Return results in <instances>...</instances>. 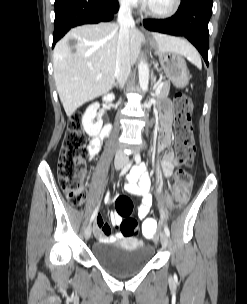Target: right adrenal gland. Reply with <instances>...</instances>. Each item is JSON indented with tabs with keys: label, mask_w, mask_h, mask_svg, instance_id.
<instances>
[{
	"label": "right adrenal gland",
	"mask_w": 247,
	"mask_h": 304,
	"mask_svg": "<svg viewBox=\"0 0 247 304\" xmlns=\"http://www.w3.org/2000/svg\"><path fill=\"white\" fill-rule=\"evenodd\" d=\"M114 87H117L118 86V84L117 83H114V85H113Z\"/></svg>",
	"instance_id": "1"
}]
</instances>
